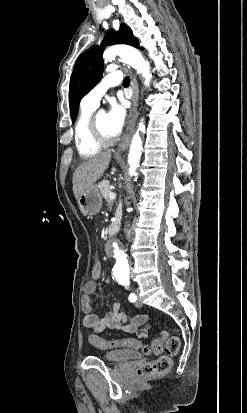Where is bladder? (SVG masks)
Returning <instances> with one entry per match:
<instances>
[{
    "instance_id": "31cf9c89",
    "label": "bladder",
    "mask_w": 247,
    "mask_h": 413,
    "mask_svg": "<svg viewBox=\"0 0 247 413\" xmlns=\"http://www.w3.org/2000/svg\"><path fill=\"white\" fill-rule=\"evenodd\" d=\"M141 352L133 349L118 348L102 354V360L108 362L126 363L129 360L139 359Z\"/></svg>"
}]
</instances>
